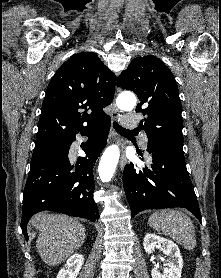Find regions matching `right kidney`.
I'll return each instance as SVG.
<instances>
[{
	"instance_id": "ca27d5eb",
	"label": "right kidney",
	"mask_w": 221,
	"mask_h": 278,
	"mask_svg": "<svg viewBox=\"0 0 221 278\" xmlns=\"http://www.w3.org/2000/svg\"><path fill=\"white\" fill-rule=\"evenodd\" d=\"M84 263V256L81 254L72 255L59 271L57 278H77Z\"/></svg>"
}]
</instances>
